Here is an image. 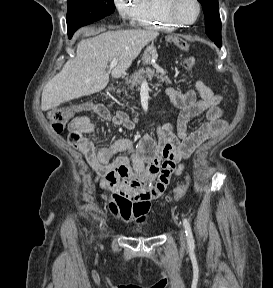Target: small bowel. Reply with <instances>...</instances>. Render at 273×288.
<instances>
[{
    "label": "small bowel",
    "instance_id": "c3829d8e",
    "mask_svg": "<svg viewBox=\"0 0 273 288\" xmlns=\"http://www.w3.org/2000/svg\"><path fill=\"white\" fill-rule=\"evenodd\" d=\"M166 94L180 109L176 131L166 124L157 128V137L146 134L137 144L121 138L110 146L96 148L86 137L96 129L88 116L76 117L69 126V143L83 154L96 174V182L109 194V211L125 221L143 222L151 201L163 194L173 176L182 173L194 150L219 135L227 125L221 108L223 97L215 95L203 81H196L194 90L167 88ZM91 111L114 126L128 130L135 127V121L123 111L111 114L101 104L93 106ZM199 115L206 121L190 132V120ZM123 152L129 155L116 157ZM153 180L156 181L151 184Z\"/></svg>",
    "mask_w": 273,
    "mask_h": 288
}]
</instances>
